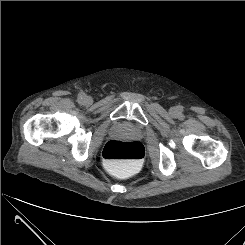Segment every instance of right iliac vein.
Listing matches in <instances>:
<instances>
[{
	"label": "right iliac vein",
	"mask_w": 245,
	"mask_h": 245,
	"mask_svg": "<svg viewBox=\"0 0 245 245\" xmlns=\"http://www.w3.org/2000/svg\"><path fill=\"white\" fill-rule=\"evenodd\" d=\"M91 97H89V96H85L84 97V102L86 103V104H90L91 103Z\"/></svg>",
	"instance_id": "right-iliac-vein-1"
}]
</instances>
